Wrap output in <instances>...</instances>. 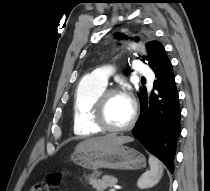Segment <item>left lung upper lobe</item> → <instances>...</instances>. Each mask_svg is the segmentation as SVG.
Instances as JSON below:
<instances>
[{
    "mask_svg": "<svg viewBox=\"0 0 210 191\" xmlns=\"http://www.w3.org/2000/svg\"><path fill=\"white\" fill-rule=\"evenodd\" d=\"M123 36L120 35L118 36V38H122ZM136 41L138 40V37L135 38ZM147 48H148V52L149 55L147 57V60H149V66L151 67L154 63L157 62V60L159 58H161V56L163 54H165V49L163 47V45L158 42V41H151L147 44ZM146 58H143V60H145Z\"/></svg>",
    "mask_w": 210,
    "mask_h": 191,
    "instance_id": "1",
    "label": "left lung upper lobe"
}]
</instances>
